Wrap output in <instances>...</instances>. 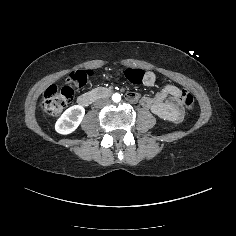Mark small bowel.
I'll return each instance as SVG.
<instances>
[{"mask_svg":"<svg viewBox=\"0 0 236 236\" xmlns=\"http://www.w3.org/2000/svg\"><path fill=\"white\" fill-rule=\"evenodd\" d=\"M144 83L147 85V86H152L153 83H154V80L153 78L149 75L147 76V78L145 79ZM169 91H171L172 93L176 94L177 96H180V93L181 91L175 87H170L169 88Z\"/></svg>","mask_w":236,"mask_h":236,"instance_id":"small-bowel-1","label":"small bowel"}]
</instances>
